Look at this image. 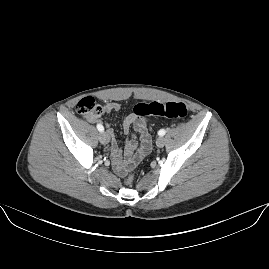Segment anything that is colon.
Instances as JSON below:
<instances>
[{"label": "colon", "mask_w": 269, "mask_h": 269, "mask_svg": "<svg viewBox=\"0 0 269 269\" xmlns=\"http://www.w3.org/2000/svg\"><path fill=\"white\" fill-rule=\"evenodd\" d=\"M77 111L81 115H98L101 112V107L97 104L93 98L85 97L79 100L77 103ZM133 113L139 117L157 116L166 119H183L187 116L188 110L182 102H159L154 101L151 103H138L133 108ZM152 140L151 137L143 131L142 145L144 152H149L151 149ZM126 172L122 175L123 181L126 184H130L133 180V171L129 166L126 168Z\"/></svg>", "instance_id": "1"}]
</instances>
